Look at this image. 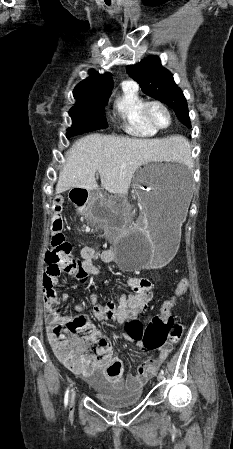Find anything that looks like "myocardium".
<instances>
[{"mask_svg": "<svg viewBox=\"0 0 233 449\" xmlns=\"http://www.w3.org/2000/svg\"><path fill=\"white\" fill-rule=\"evenodd\" d=\"M153 106H159L161 107L167 114L168 116V123L165 126H158L156 123H154V121L151 119L150 116V110ZM142 113H143V117L145 119V121L155 130H163L168 128L171 123H172V113L169 109V107L162 101L160 100H150V101H146L143 109H142Z\"/></svg>", "mask_w": 233, "mask_h": 449, "instance_id": "1", "label": "myocardium"}]
</instances>
